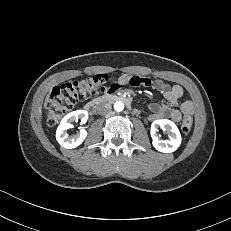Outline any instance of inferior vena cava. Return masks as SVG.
Listing matches in <instances>:
<instances>
[{
	"mask_svg": "<svg viewBox=\"0 0 231 231\" xmlns=\"http://www.w3.org/2000/svg\"><path fill=\"white\" fill-rule=\"evenodd\" d=\"M111 105L106 102H102L97 106V112L101 115H105L111 111Z\"/></svg>",
	"mask_w": 231,
	"mask_h": 231,
	"instance_id": "1",
	"label": "inferior vena cava"
}]
</instances>
